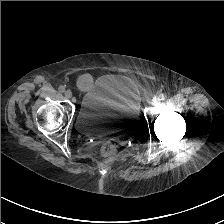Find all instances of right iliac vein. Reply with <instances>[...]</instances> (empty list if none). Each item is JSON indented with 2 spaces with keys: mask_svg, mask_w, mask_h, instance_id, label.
Wrapping results in <instances>:
<instances>
[{
  "mask_svg": "<svg viewBox=\"0 0 224 224\" xmlns=\"http://www.w3.org/2000/svg\"><path fill=\"white\" fill-rule=\"evenodd\" d=\"M64 95L67 99H70L72 97V92L70 90H66Z\"/></svg>",
  "mask_w": 224,
  "mask_h": 224,
  "instance_id": "1",
  "label": "right iliac vein"
}]
</instances>
